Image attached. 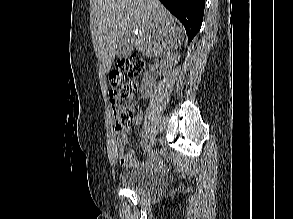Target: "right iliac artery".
I'll return each instance as SVG.
<instances>
[{"mask_svg": "<svg viewBox=\"0 0 293 219\" xmlns=\"http://www.w3.org/2000/svg\"><path fill=\"white\" fill-rule=\"evenodd\" d=\"M152 138V136L149 134V135H146V138H145V144H147V142Z\"/></svg>", "mask_w": 293, "mask_h": 219, "instance_id": "82829eb1", "label": "right iliac artery"}]
</instances>
